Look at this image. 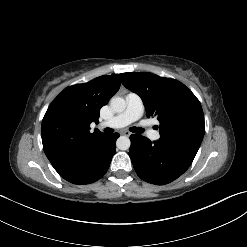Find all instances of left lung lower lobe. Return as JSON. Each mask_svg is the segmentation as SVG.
<instances>
[{
	"instance_id": "0a47b994",
	"label": "left lung lower lobe",
	"mask_w": 247,
	"mask_h": 247,
	"mask_svg": "<svg viewBox=\"0 0 247 247\" xmlns=\"http://www.w3.org/2000/svg\"><path fill=\"white\" fill-rule=\"evenodd\" d=\"M129 156L137 175L144 181L164 185L181 176L194 157L166 146L159 140L152 143L141 135H131Z\"/></svg>"
}]
</instances>
